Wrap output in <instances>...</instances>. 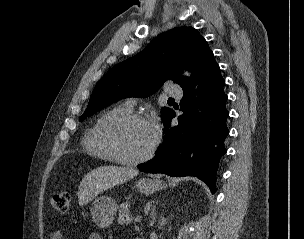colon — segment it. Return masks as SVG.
<instances>
[{
	"label": "colon",
	"instance_id": "obj_1",
	"mask_svg": "<svg viewBox=\"0 0 304 239\" xmlns=\"http://www.w3.org/2000/svg\"><path fill=\"white\" fill-rule=\"evenodd\" d=\"M50 205L59 212H67L71 205V195L67 192L53 194L50 198Z\"/></svg>",
	"mask_w": 304,
	"mask_h": 239
}]
</instances>
